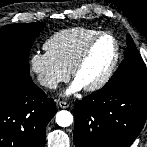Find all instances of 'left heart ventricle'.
Masks as SVG:
<instances>
[{
  "instance_id": "left-heart-ventricle-1",
  "label": "left heart ventricle",
  "mask_w": 147,
  "mask_h": 147,
  "mask_svg": "<svg viewBox=\"0 0 147 147\" xmlns=\"http://www.w3.org/2000/svg\"><path fill=\"white\" fill-rule=\"evenodd\" d=\"M115 53L113 40L100 38L93 46L87 60L79 69L76 79L83 87L98 81L109 68Z\"/></svg>"
}]
</instances>
